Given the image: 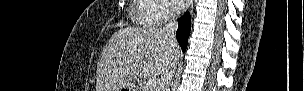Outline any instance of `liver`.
<instances>
[{
	"mask_svg": "<svg viewBox=\"0 0 304 91\" xmlns=\"http://www.w3.org/2000/svg\"><path fill=\"white\" fill-rule=\"evenodd\" d=\"M180 56L177 42L160 28L120 29L112 35L99 57L96 91H120L134 78L161 76Z\"/></svg>",
	"mask_w": 304,
	"mask_h": 91,
	"instance_id": "obj_1",
	"label": "liver"
}]
</instances>
